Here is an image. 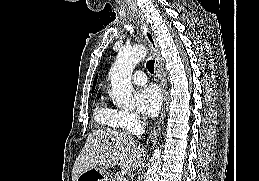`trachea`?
<instances>
[{"label": "trachea", "mask_w": 259, "mask_h": 181, "mask_svg": "<svg viewBox=\"0 0 259 181\" xmlns=\"http://www.w3.org/2000/svg\"><path fill=\"white\" fill-rule=\"evenodd\" d=\"M154 63H155L154 60H149V61L147 62V65H146L148 71H149L151 74L154 73Z\"/></svg>", "instance_id": "1"}]
</instances>
